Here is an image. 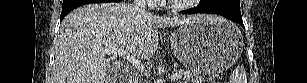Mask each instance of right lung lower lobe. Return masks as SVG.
Instances as JSON below:
<instances>
[{"label":"right lung lower lobe","mask_w":307,"mask_h":83,"mask_svg":"<svg viewBox=\"0 0 307 83\" xmlns=\"http://www.w3.org/2000/svg\"><path fill=\"white\" fill-rule=\"evenodd\" d=\"M103 2H120L119 0L117 1H103V0H64L63 1V6H62V14L60 17V20L63 19L65 15H67L70 11L73 9L84 5V4H89V3H103Z\"/></svg>","instance_id":"obj_1"}]
</instances>
